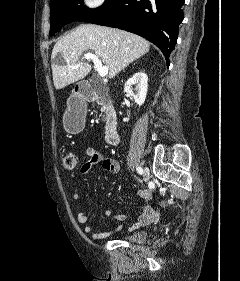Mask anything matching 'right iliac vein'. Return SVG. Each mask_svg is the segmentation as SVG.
Returning <instances> with one entry per match:
<instances>
[{
    "instance_id": "right-iliac-vein-1",
    "label": "right iliac vein",
    "mask_w": 240,
    "mask_h": 281,
    "mask_svg": "<svg viewBox=\"0 0 240 281\" xmlns=\"http://www.w3.org/2000/svg\"><path fill=\"white\" fill-rule=\"evenodd\" d=\"M143 178H144V181L147 182L150 178V172L148 170V168H145L144 169V172H143Z\"/></svg>"
}]
</instances>
